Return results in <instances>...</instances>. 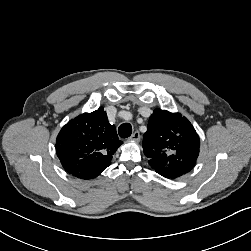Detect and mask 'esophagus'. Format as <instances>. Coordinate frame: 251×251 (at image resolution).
Here are the masks:
<instances>
[{"mask_svg":"<svg viewBox=\"0 0 251 251\" xmlns=\"http://www.w3.org/2000/svg\"><path fill=\"white\" fill-rule=\"evenodd\" d=\"M129 141H140V133L138 131L134 132L129 138Z\"/></svg>","mask_w":251,"mask_h":251,"instance_id":"34e87169","label":"esophagus"}]
</instances>
